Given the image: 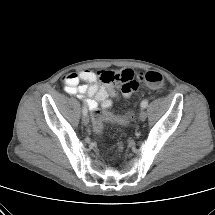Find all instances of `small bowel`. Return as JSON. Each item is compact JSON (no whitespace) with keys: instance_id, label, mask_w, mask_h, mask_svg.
Wrapping results in <instances>:
<instances>
[{"instance_id":"small-bowel-1","label":"small bowel","mask_w":215,"mask_h":215,"mask_svg":"<svg viewBox=\"0 0 215 215\" xmlns=\"http://www.w3.org/2000/svg\"><path fill=\"white\" fill-rule=\"evenodd\" d=\"M84 82V84H81ZM65 91L77 96L91 111L112 106L113 98H129L137 89L135 72L130 68L118 71L82 70L63 77Z\"/></svg>"}]
</instances>
